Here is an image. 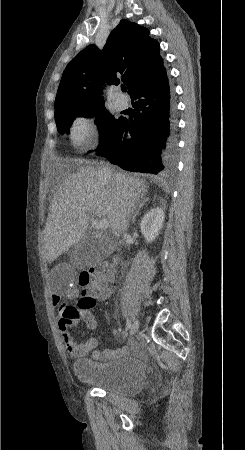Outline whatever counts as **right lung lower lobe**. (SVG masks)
<instances>
[{
  "label": "right lung lower lobe",
  "mask_w": 245,
  "mask_h": 450,
  "mask_svg": "<svg viewBox=\"0 0 245 450\" xmlns=\"http://www.w3.org/2000/svg\"><path fill=\"white\" fill-rule=\"evenodd\" d=\"M134 120L122 117L112 142L99 153L133 172L171 174L176 167L174 105L165 68L142 82L131 94Z\"/></svg>",
  "instance_id": "right-lung-lower-lobe-1"
}]
</instances>
